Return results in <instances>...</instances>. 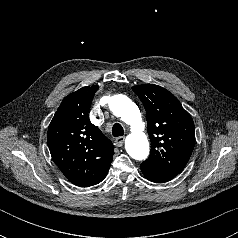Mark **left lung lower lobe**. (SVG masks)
<instances>
[{
  "mask_svg": "<svg viewBox=\"0 0 238 238\" xmlns=\"http://www.w3.org/2000/svg\"><path fill=\"white\" fill-rule=\"evenodd\" d=\"M140 169L142 170L146 179L155 183L168 182L178 175L176 173L157 170L143 163L141 164Z\"/></svg>",
  "mask_w": 238,
  "mask_h": 238,
  "instance_id": "1",
  "label": "left lung lower lobe"
}]
</instances>
